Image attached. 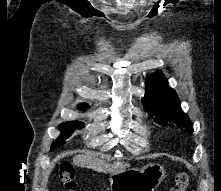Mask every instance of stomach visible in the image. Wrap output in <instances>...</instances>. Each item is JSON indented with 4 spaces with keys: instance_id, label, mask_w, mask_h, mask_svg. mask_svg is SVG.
Listing matches in <instances>:
<instances>
[{
    "instance_id": "1",
    "label": "stomach",
    "mask_w": 221,
    "mask_h": 191,
    "mask_svg": "<svg viewBox=\"0 0 221 191\" xmlns=\"http://www.w3.org/2000/svg\"><path fill=\"white\" fill-rule=\"evenodd\" d=\"M165 176L163 166L151 163L142 169L128 168L110 174L111 191H156Z\"/></svg>"
}]
</instances>
